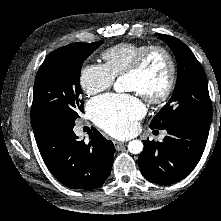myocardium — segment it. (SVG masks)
<instances>
[{
  "label": "myocardium",
  "mask_w": 221,
  "mask_h": 221,
  "mask_svg": "<svg viewBox=\"0 0 221 221\" xmlns=\"http://www.w3.org/2000/svg\"><path fill=\"white\" fill-rule=\"evenodd\" d=\"M155 53H160L165 58L168 71L164 86L160 93L153 96L141 94L142 97L150 104H160L166 101L174 89L176 81V64L172 54L168 51V49L161 45H148L139 53L134 63L124 73V76H132L141 73L151 56Z\"/></svg>",
  "instance_id": "1"
}]
</instances>
